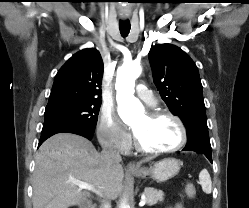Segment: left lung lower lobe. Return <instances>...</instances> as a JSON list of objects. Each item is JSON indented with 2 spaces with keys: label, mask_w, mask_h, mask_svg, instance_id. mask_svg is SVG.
<instances>
[{
  "label": "left lung lower lobe",
  "mask_w": 249,
  "mask_h": 208,
  "mask_svg": "<svg viewBox=\"0 0 249 208\" xmlns=\"http://www.w3.org/2000/svg\"><path fill=\"white\" fill-rule=\"evenodd\" d=\"M183 151H194L198 154H204L212 163L211 144L210 140L203 137H196L188 140L187 145Z\"/></svg>",
  "instance_id": "1"
}]
</instances>
